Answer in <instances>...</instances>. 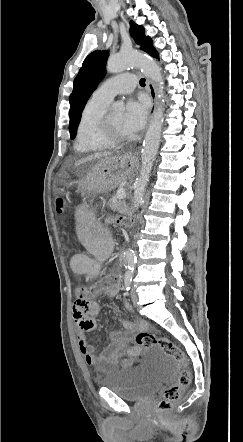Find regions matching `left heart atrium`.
<instances>
[{
    "label": "left heart atrium",
    "mask_w": 243,
    "mask_h": 442,
    "mask_svg": "<svg viewBox=\"0 0 243 442\" xmlns=\"http://www.w3.org/2000/svg\"><path fill=\"white\" fill-rule=\"evenodd\" d=\"M148 104L144 98L128 101L123 116V125L128 134L140 131L146 122Z\"/></svg>",
    "instance_id": "left-heart-atrium-1"
}]
</instances>
